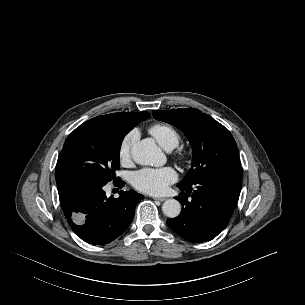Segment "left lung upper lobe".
<instances>
[{
    "instance_id": "left-lung-upper-lobe-1",
    "label": "left lung upper lobe",
    "mask_w": 305,
    "mask_h": 305,
    "mask_svg": "<svg viewBox=\"0 0 305 305\" xmlns=\"http://www.w3.org/2000/svg\"><path fill=\"white\" fill-rule=\"evenodd\" d=\"M152 115L182 130L192 145V166L179 184H193L206 175L241 168L233 136L211 116L194 108L154 110Z\"/></svg>"
}]
</instances>
